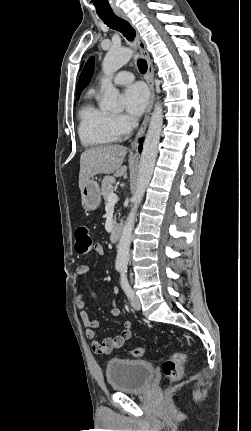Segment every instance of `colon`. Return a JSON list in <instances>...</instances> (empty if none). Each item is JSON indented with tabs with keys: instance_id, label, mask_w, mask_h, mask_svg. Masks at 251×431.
I'll return each mask as SVG.
<instances>
[{
	"instance_id": "obj_1",
	"label": "colon",
	"mask_w": 251,
	"mask_h": 431,
	"mask_svg": "<svg viewBox=\"0 0 251 431\" xmlns=\"http://www.w3.org/2000/svg\"><path fill=\"white\" fill-rule=\"evenodd\" d=\"M95 248L90 230L85 225H79L75 229V249L80 255L88 254ZM134 357H142L143 348H135L130 351ZM188 362L186 353H175L162 364V373L169 382L179 381L184 373V367Z\"/></svg>"
}]
</instances>
